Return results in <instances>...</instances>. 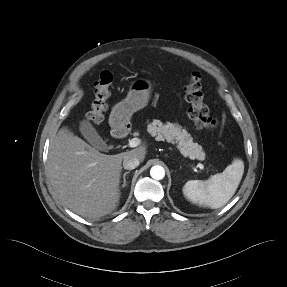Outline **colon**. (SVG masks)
Wrapping results in <instances>:
<instances>
[{
	"label": "colon",
	"instance_id": "1",
	"mask_svg": "<svg viewBox=\"0 0 287 287\" xmlns=\"http://www.w3.org/2000/svg\"><path fill=\"white\" fill-rule=\"evenodd\" d=\"M202 77L193 72L189 75L185 85V98L189 103L188 114L199 129L211 132L218 128L219 122L213 118L205 102L201 84ZM113 77L110 72H101L94 81V99L86 119L91 123H100L104 119L108 108L110 88Z\"/></svg>",
	"mask_w": 287,
	"mask_h": 287
}]
</instances>
